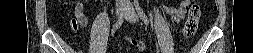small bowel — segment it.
<instances>
[{
    "instance_id": "1",
    "label": "small bowel",
    "mask_w": 253,
    "mask_h": 53,
    "mask_svg": "<svg viewBox=\"0 0 253 53\" xmlns=\"http://www.w3.org/2000/svg\"><path fill=\"white\" fill-rule=\"evenodd\" d=\"M190 2L189 0H184L178 8L165 7L166 12L172 17L174 23H178L184 17L186 8L190 5ZM76 10L79 24L82 28H85L87 26V18L82 11V5L80 3L76 5Z\"/></svg>"
}]
</instances>
